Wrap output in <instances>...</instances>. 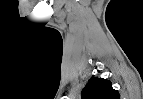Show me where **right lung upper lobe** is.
I'll return each instance as SVG.
<instances>
[{"instance_id": "obj_1", "label": "right lung upper lobe", "mask_w": 143, "mask_h": 99, "mask_svg": "<svg viewBox=\"0 0 143 99\" xmlns=\"http://www.w3.org/2000/svg\"><path fill=\"white\" fill-rule=\"evenodd\" d=\"M81 99H120V95L111 81L93 77L82 90Z\"/></svg>"}]
</instances>
